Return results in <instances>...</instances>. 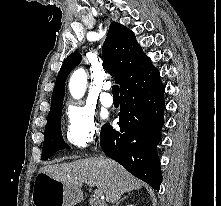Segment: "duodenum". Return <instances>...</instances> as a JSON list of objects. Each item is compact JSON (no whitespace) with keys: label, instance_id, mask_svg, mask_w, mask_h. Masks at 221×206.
Here are the masks:
<instances>
[{"label":"duodenum","instance_id":"duodenum-1","mask_svg":"<svg viewBox=\"0 0 221 206\" xmlns=\"http://www.w3.org/2000/svg\"><path fill=\"white\" fill-rule=\"evenodd\" d=\"M88 206H106L102 201L95 197H89Z\"/></svg>","mask_w":221,"mask_h":206}]
</instances>
